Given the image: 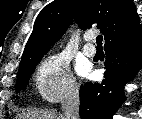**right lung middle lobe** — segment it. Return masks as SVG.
<instances>
[{
	"label": "right lung middle lobe",
	"instance_id": "right-lung-middle-lobe-1",
	"mask_svg": "<svg viewBox=\"0 0 142 119\" xmlns=\"http://www.w3.org/2000/svg\"><path fill=\"white\" fill-rule=\"evenodd\" d=\"M42 57L43 55L31 60L30 62L19 68L18 79L15 86V89L17 91H21L26 88L31 74L33 73L36 65L40 62Z\"/></svg>",
	"mask_w": 142,
	"mask_h": 119
}]
</instances>
